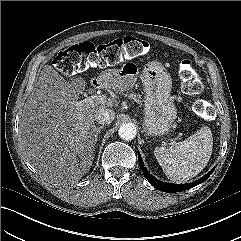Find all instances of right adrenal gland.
<instances>
[{
    "instance_id": "1",
    "label": "right adrenal gland",
    "mask_w": 241,
    "mask_h": 241,
    "mask_svg": "<svg viewBox=\"0 0 241 241\" xmlns=\"http://www.w3.org/2000/svg\"><path fill=\"white\" fill-rule=\"evenodd\" d=\"M103 128H104V125L95 128V144L98 141V135L100 134Z\"/></svg>"
}]
</instances>
